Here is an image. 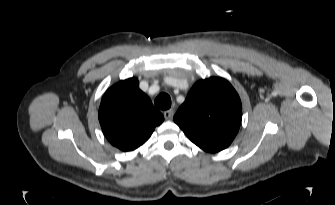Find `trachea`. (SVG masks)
Returning <instances> with one entry per match:
<instances>
[{
    "mask_svg": "<svg viewBox=\"0 0 335 205\" xmlns=\"http://www.w3.org/2000/svg\"><path fill=\"white\" fill-rule=\"evenodd\" d=\"M154 103L159 109L167 110L171 107V98L168 94L161 93L156 97Z\"/></svg>",
    "mask_w": 335,
    "mask_h": 205,
    "instance_id": "3493384b",
    "label": "trachea"
}]
</instances>
